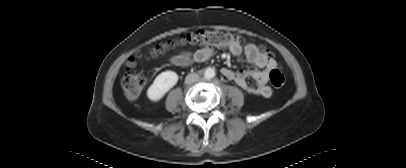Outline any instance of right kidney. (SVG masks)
<instances>
[{
    "instance_id": "right-kidney-1",
    "label": "right kidney",
    "mask_w": 406,
    "mask_h": 168,
    "mask_svg": "<svg viewBox=\"0 0 406 168\" xmlns=\"http://www.w3.org/2000/svg\"><path fill=\"white\" fill-rule=\"evenodd\" d=\"M178 81V75L173 71L160 73L147 90L151 101H159Z\"/></svg>"
}]
</instances>
